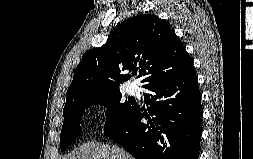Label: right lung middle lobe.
<instances>
[{"label": "right lung middle lobe", "instance_id": "right-lung-middle-lobe-1", "mask_svg": "<svg viewBox=\"0 0 253 159\" xmlns=\"http://www.w3.org/2000/svg\"><path fill=\"white\" fill-rule=\"evenodd\" d=\"M120 90L102 92L81 97L65 104L63 109L64 122L60 136L61 151L66 148L81 133L80 122L85 109L92 105L100 104L107 107V123L104 129H113L126 121L131 111L135 108L134 101H121ZM105 130V131H106Z\"/></svg>", "mask_w": 253, "mask_h": 159}]
</instances>
